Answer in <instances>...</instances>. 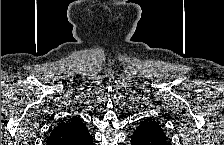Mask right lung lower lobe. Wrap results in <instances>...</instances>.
<instances>
[{"mask_svg":"<svg viewBox=\"0 0 224 145\" xmlns=\"http://www.w3.org/2000/svg\"><path fill=\"white\" fill-rule=\"evenodd\" d=\"M92 141H93V138H91V139L89 140V142L87 143V145H92Z\"/></svg>","mask_w":224,"mask_h":145,"instance_id":"98d812e1","label":"right lung lower lobe"}]
</instances>
